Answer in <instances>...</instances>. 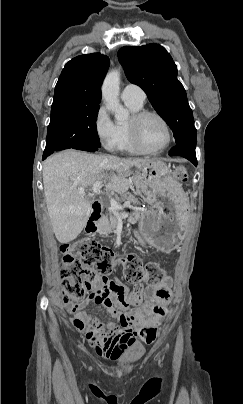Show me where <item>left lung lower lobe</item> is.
I'll list each match as a JSON object with an SVG mask.
<instances>
[{"label": "left lung lower lobe", "mask_w": 243, "mask_h": 404, "mask_svg": "<svg viewBox=\"0 0 243 404\" xmlns=\"http://www.w3.org/2000/svg\"><path fill=\"white\" fill-rule=\"evenodd\" d=\"M195 146L191 145H175L171 150L170 156H182L197 166Z\"/></svg>", "instance_id": "obj_1"}]
</instances>
